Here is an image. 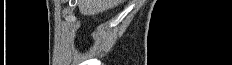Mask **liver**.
<instances>
[{
    "instance_id": "liver-1",
    "label": "liver",
    "mask_w": 232,
    "mask_h": 65,
    "mask_svg": "<svg viewBox=\"0 0 232 65\" xmlns=\"http://www.w3.org/2000/svg\"><path fill=\"white\" fill-rule=\"evenodd\" d=\"M124 0H78L79 11L83 15H95L111 9Z\"/></svg>"
}]
</instances>
